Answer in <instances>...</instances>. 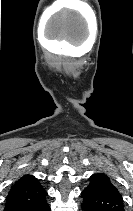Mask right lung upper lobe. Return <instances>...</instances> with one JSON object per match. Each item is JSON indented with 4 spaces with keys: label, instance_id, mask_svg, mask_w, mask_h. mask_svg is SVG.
Listing matches in <instances>:
<instances>
[{
    "label": "right lung upper lobe",
    "instance_id": "1",
    "mask_svg": "<svg viewBox=\"0 0 133 211\" xmlns=\"http://www.w3.org/2000/svg\"><path fill=\"white\" fill-rule=\"evenodd\" d=\"M47 192L32 175L16 181L6 197L4 211H18L42 201Z\"/></svg>",
    "mask_w": 133,
    "mask_h": 211
}]
</instances>
